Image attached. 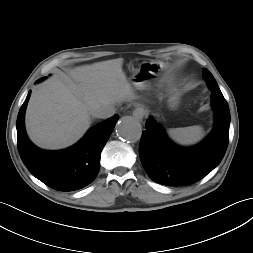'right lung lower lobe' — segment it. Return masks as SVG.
Instances as JSON below:
<instances>
[{"label":"right lung lower lobe","mask_w":253,"mask_h":253,"mask_svg":"<svg viewBox=\"0 0 253 253\" xmlns=\"http://www.w3.org/2000/svg\"><path fill=\"white\" fill-rule=\"evenodd\" d=\"M42 79L36 81L39 82ZM29 91L17 118V145L21 159L33 176L58 191H73L90 184L100 168V154L109 139L118 115L97 124L75 145L65 150L46 151L28 139L24 115Z\"/></svg>","instance_id":"right-lung-lower-lobe-1"}]
</instances>
